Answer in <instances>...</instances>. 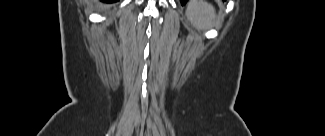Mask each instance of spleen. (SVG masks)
I'll use <instances>...</instances> for the list:
<instances>
[{"label": "spleen", "mask_w": 325, "mask_h": 136, "mask_svg": "<svg viewBox=\"0 0 325 136\" xmlns=\"http://www.w3.org/2000/svg\"><path fill=\"white\" fill-rule=\"evenodd\" d=\"M186 15L191 23L199 29L219 27L222 19L217 18L214 7L202 0H192L188 3Z\"/></svg>", "instance_id": "3e777b00"}]
</instances>
